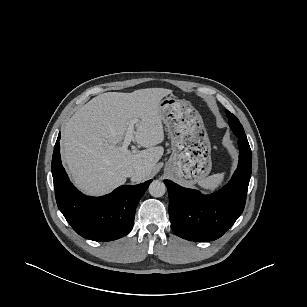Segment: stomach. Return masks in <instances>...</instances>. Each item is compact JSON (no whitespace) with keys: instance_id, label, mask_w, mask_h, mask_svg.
Instances as JSON below:
<instances>
[{"instance_id":"stomach-1","label":"stomach","mask_w":307,"mask_h":307,"mask_svg":"<svg viewBox=\"0 0 307 307\" xmlns=\"http://www.w3.org/2000/svg\"><path fill=\"white\" fill-rule=\"evenodd\" d=\"M159 109L172 146L165 173L186 186L200 183L212 169L211 144L201 115L189 102L174 96L162 99Z\"/></svg>"}]
</instances>
